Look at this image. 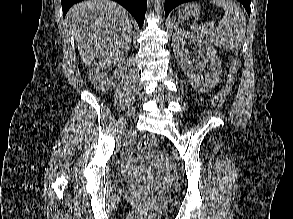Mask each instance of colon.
<instances>
[{"label": "colon", "instance_id": "1", "mask_svg": "<svg viewBox=\"0 0 293 219\" xmlns=\"http://www.w3.org/2000/svg\"><path fill=\"white\" fill-rule=\"evenodd\" d=\"M240 67H241L240 59L237 56H232L227 82L225 86L219 91V93L213 99L212 104L214 107L218 108L224 103L226 96L228 95L230 89L233 86L235 75L239 71ZM155 142H156V138L153 135H146L140 139L139 149L142 152H146L155 145Z\"/></svg>", "mask_w": 293, "mask_h": 219}]
</instances>
